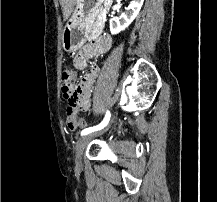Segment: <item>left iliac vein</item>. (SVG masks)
Segmentation results:
<instances>
[{"instance_id":"obj_1","label":"left iliac vein","mask_w":217,"mask_h":202,"mask_svg":"<svg viewBox=\"0 0 217 202\" xmlns=\"http://www.w3.org/2000/svg\"><path fill=\"white\" fill-rule=\"evenodd\" d=\"M113 121H114V117L111 118L110 124L108 125V127L113 123ZM96 135H100V134L84 135L81 138H79V140L77 141L76 148H75V154H76V160L78 161V163H80L82 160V156H83V153H84V150H85L87 144Z\"/></svg>"}]
</instances>
